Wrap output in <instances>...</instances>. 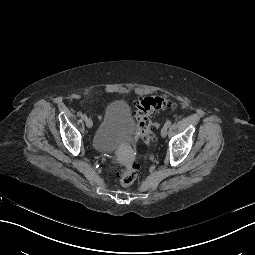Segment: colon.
Here are the masks:
<instances>
[{"instance_id":"colon-1","label":"colon","mask_w":255,"mask_h":255,"mask_svg":"<svg viewBox=\"0 0 255 255\" xmlns=\"http://www.w3.org/2000/svg\"><path fill=\"white\" fill-rule=\"evenodd\" d=\"M174 108V103L166 96H149L138 102L135 117L143 141L150 144L153 140L152 117L160 112ZM138 164L119 165L117 176L122 186L128 187L134 183L137 178Z\"/></svg>"}]
</instances>
